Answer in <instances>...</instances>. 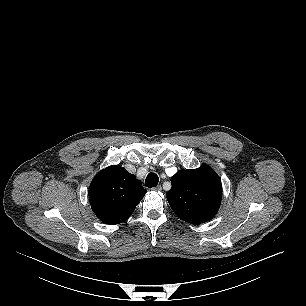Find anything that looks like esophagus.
<instances>
[{
    "instance_id": "34e87169",
    "label": "esophagus",
    "mask_w": 306,
    "mask_h": 306,
    "mask_svg": "<svg viewBox=\"0 0 306 306\" xmlns=\"http://www.w3.org/2000/svg\"><path fill=\"white\" fill-rule=\"evenodd\" d=\"M152 190H153V191H156V192H159V191L162 190V187H161V185H158V186L152 188Z\"/></svg>"
}]
</instances>
